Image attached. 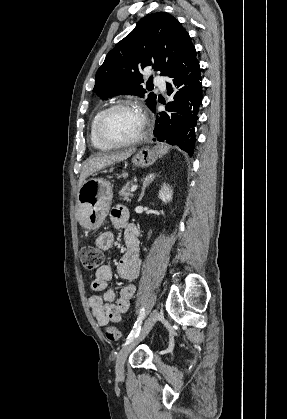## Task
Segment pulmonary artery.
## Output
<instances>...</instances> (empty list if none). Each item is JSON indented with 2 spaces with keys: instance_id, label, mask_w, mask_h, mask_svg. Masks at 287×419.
Masks as SVG:
<instances>
[{
  "instance_id": "1",
  "label": "pulmonary artery",
  "mask_w": 287,
  "mask_h": 419,
  "mask_svg": "<svg viewBox=\"0 0 287 419\" xmlns=\"http://www.w3.org/2000/svg\"><path fill=\"white\" fill-rule=\"evenodd\" d=\"M153 82L156 86H158L161 90H165L166 84L162 77L154 76Z\"/></svg>"
}]
</instances>
